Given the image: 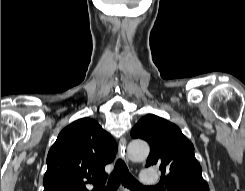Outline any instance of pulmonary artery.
Listing matches in <instances>:
<instances>
[{"instance_id":"1","label":"pulmonary artery","mask_w":245,"mask_h":191,"mask_svg":"<svg viewBox=\"0 0 245 191\" xmlns=\"http://www.w3.org/2000/svg\"><path fill=\"white\" fill-rule=\"evenodd\" d=\"M140 176L142 183L146 186H154L159 181L157 173L152 168L143 170Z\"/></svg>"}]
</instances>
